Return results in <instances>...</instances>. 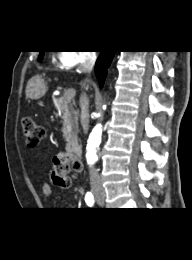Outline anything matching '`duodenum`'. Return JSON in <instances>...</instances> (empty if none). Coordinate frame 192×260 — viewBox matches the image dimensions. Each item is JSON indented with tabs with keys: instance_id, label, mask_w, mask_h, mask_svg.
Segmentation results:
<instances>
[{
	"instance_id": "1",
	"label": "duodenum",
	"mask_w": 192,
	"mask_h": 260,
	"mask_svg": "<svg viewBox=\"0 0 192 260\" xmlns=\"http://www.w3.org/2000/svg\"><path fill=\"white\" fill-rule=\"evenodd\" d=\"M67 152L77 158L82 156V148L76 140H71L67 146Z\"/></svg>"
}]
</instances>
